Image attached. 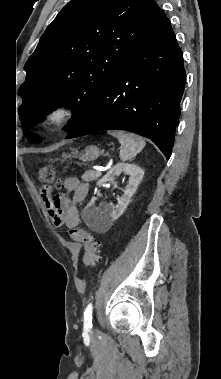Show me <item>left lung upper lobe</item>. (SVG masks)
Listing matches in <instances>:
<instances>
[{"label": "left lung upper lobe", "instance_id": "obj_1", "mask_svg": "<svg viewBox=\"0 0 221 379\" xmlns=\"http://www.w3.org/2000/svg\"><path fill=\"white\" fill-rule=\"evenodd\" d=\"M163 11L154 0H72L28 59L19 93L23 125L34 126L58 106L73 108L69 133L95 97L150 35ZM29 141L39 135L25 129Z\"/></svg>", "mask_w": 221, "mask_h": 379}]
</instances>
